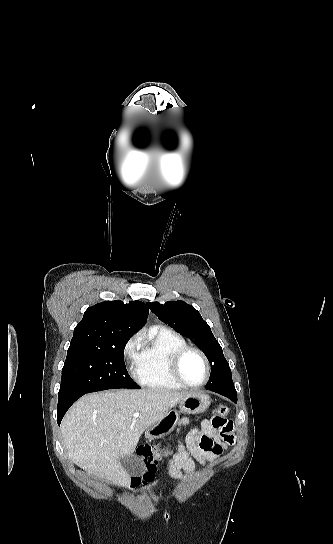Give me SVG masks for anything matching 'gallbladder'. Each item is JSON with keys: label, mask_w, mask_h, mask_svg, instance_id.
<instances>
[{"label": "gallbladder", "mask_w": 333, "mask_h": 544, "mask_svg": "<svg viewBox=\"0 0 333 544\" xmlns=\"http://www.w3.org/2000/svg\"><path fill=\"white\" fill-rule=\"evenodd\" d=\"M120 463L130 476H140L144 473L145 468L139 458L133 454L120 456Z\"/></svg>", "instance_id": "gallbladder-1"}]
</instances>
